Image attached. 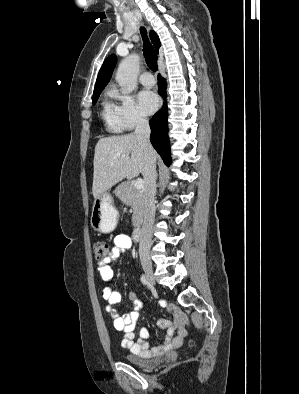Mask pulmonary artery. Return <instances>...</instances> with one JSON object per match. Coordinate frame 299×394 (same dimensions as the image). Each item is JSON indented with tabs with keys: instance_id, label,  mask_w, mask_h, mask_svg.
Returning a JSON list of instances; mask_svg holds the SVG:
<instances>
[{
	"instance_id": "obj_1",
	"label": "pulmonary artery",
	"mask_w": 299,
	"mask_h": 394,
	"mask_svg": "<svg viewBox=\"0 0 299 394\" xmlns=\"http://www.w3.org/2000/svg\"><path fill=\"white\" fill-rule=\"evenodd\" d=\"M140 82L145 87H152L155 84V79L150 72H144L140 76Z\"/></svg>"
}]
</instances>
